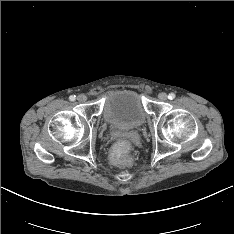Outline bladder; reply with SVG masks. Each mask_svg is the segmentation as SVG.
<instances>
[{
	"label": "bladder",
	"mask_w": 234,
	"mask_h": 234,
	"mask_svg": "<svg viewBox=\"0 0 234 234\" xmlns=\"http://www.w3.org/2000/svg\"><path fill=\"white\" fill-rule=\"evenodd\" d=\"M102 114L107 123L122 131L137 129L146 120L141 97L133 90L109 93L105 98Z\"/></svg>",
	"instance_id": "1"
}]
</instances>
